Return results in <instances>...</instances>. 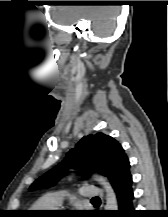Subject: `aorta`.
I'll use <instances>...</instances> for the list:
<instances>
[{
    "instance_id": "1",
    "label": "aorta",
    "mask_w": 168,
    "mask_h": 217,
    "mask_svg": "<svg viewBox=\"0 0 168 217\" xmlns=\"http://www.w3.org/2000/svg\"><path fill=\"white\" fill-rule=\"evenodd\" d=\"M94 179L98 181L105 189L106 191V205H105V210H118V204H117V198L115 195V192L107 180V178L100 176V175H95Z\"/></svg>"
}]
</instances>
